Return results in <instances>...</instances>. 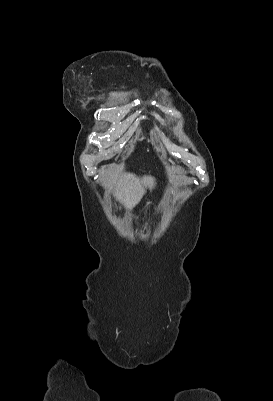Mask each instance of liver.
<instances>
[{
  "instance_id": "1",
  "label": "liver",
  "mask_w": 273,
  "mask_h": 401,
  "mask_svg": "<svg viewBox=\"0 0 273 401\" xmlns=\"http://www.w3.org/2000/svg\"><path fill=\"white\" fill-rule=\"evenodd\" d=\"M175 172H177L176 178H180V168H177ZM170 176H172L171 172ZM104 180H107L105 186L115 188V196H117L120 203H123L126 209H133L135 205H138L143 194L146 192L145 188H147V186L153 188L155 184L152 176H142V178H139L136 174H132V172H122L119 168H114V170L105 174Z\"/></svg>"
}]
</instances>
